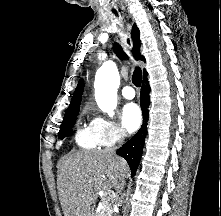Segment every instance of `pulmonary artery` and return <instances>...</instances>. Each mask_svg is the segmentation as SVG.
<instances>
[{
    "mask_svg": "<svg viewBox=\"0 0 221 216\" xmlns=\"http://www.w3.org/2000/svg\"><path fill=\"white\" fill-rule=\"evenodd\" d=\"M122 95L126 99H133L135 97V90L133 87L127 85L122 89Z\"/></svg>",
    "mask_w": 221,
    "mask_h": 216,
    "instance_id": "pulmonary-artery-1",
    "label": "pulmonary artery"
}]
</instances>
